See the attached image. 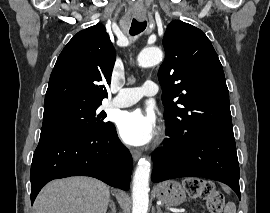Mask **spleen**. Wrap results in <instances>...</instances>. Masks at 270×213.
<instances>
[{
	"mask_svg": "<svg viewBox=\"0 0 270 213\" xmlns=\"http://www.w3.org/2000/svg\"><path fill=\"white\" fill-rule=\"evenodd\" d=\"M224 213H236V206L234 203H228L224 209Z\"/></svg>",
	"mask_w": 270,
	"mask_h": 213,
	"instance_id": "spleen-1",
	"label": "spleen"
}]
</instances>
